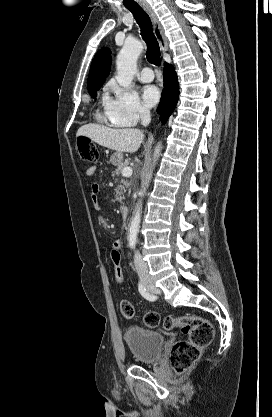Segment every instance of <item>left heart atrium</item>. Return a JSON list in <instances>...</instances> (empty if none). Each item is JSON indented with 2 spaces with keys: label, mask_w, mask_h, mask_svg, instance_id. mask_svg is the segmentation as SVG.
Instances as JSON below:
<instances>
[{
  "label": "left heart atrium",
  "mask_w": 272,
  "mask_h": 417,
  "mask_svg": "<svg viewBox=\"0 0 272 417\" xmlns=\"http://www.w3.org/2000/svg\"><path fill=\"white\" fill-rule=\"evenodd\" d=\"M160 99V91L156 86L148 85L143 88V100L149 107H153Z\"/></svg>",
  "instance_id": "39dd6f15"
}]
</instances>
